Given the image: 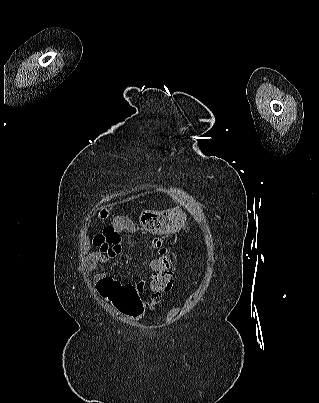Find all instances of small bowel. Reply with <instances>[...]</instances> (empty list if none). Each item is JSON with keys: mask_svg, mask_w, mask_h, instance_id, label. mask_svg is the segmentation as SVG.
Segmentation results:
<instances>
[{"mask_svg": "<svg viewBox=\"0 0 319 403\" xmlns=\"http://www.w3.org/2000/svg\"><path fill=\"white\" fill-rule=\"evenodd\" d=\"M129 218L128 213H119L115 224H103L101 229L94 230L92 246H95L96 250L85 255L83 270L95 272L93 284L98 287V294H101L104 305H108L109 309H118L119 315H130L132 319L140 320L148 310L158 309L162 300H157L153 291H150L145 301L140 300L139 292L145 286V280H140L137 284H125L124 279L108 276L105 271L99 270L103 261L117 254H125L123 237L127 231L133 229ZM170 289L171 287L169 291Z\"/></svg>", "mask_w": 319, "mask_h": 403, "instance_id": "1", "label": "small bowel"}]
</instances>
